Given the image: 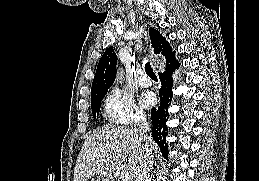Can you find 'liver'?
Here are the masks:
<instances>
[{
	"instance_id": "obj_1",
	"label": "liver",
	"mask_w": 259,
	"mask_h": 181,
	"mask_svg": "<svg viewBox=\"0 0 259 181\" xmlns=\"http://www.w3.org/2000/svg\"><path fill=\"white\" fill-rule=\"evenodd\" d=\"M148 145L153 157L159 148L150 137ZM144 149L145 141L139 129L105 127L95 130L86 137L78 155L73 181H87L94 175L111 178L120 169L129 173V181H135Z\"/></svg>"
}]
</instances>
